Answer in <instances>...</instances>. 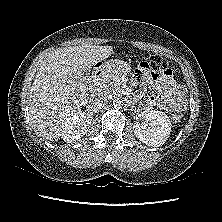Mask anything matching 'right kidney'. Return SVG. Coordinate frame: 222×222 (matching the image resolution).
Masks as SVG:
<instances>
[{
	"label": "right kidney",
	"instance_id": "ca27d5eb",
	"mask_svg": "<svg viewBox=\"0 0 222 222\" xmlns=\"http://www.w3.org/2000/svg\"><path fill=\"white\" fill-rule=\"evenodd\" d=\"M93 119L92 113L77 111L69 116L62 125L61 136L71 143L83 137Z\"/></svg>",
	"mask_w": 222,
	"mask_h": 222
}]
</instances>
